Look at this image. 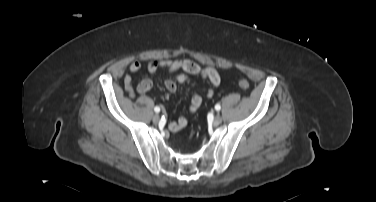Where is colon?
Segmentation results:
<instances>
[{"instance_id": "1", "label": "colon", "mask_w": 376, "mask_h": 202, "mask_svg": "<svg viewBox=\"0 0 376 202\" xmlns=\"http://www.w3.org/2000/svg\"><path fill=\"white\" fill-rule=\"evenodd\" d=\"M238 85L243 90H247L249 88V86H250L248 80H246V79H240L238 81Z\"/></svg>"}]
</instances>
